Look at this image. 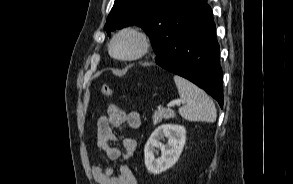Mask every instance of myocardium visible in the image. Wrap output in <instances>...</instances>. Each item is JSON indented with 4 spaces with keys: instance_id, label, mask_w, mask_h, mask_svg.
I'll return each mask as SVG.
<instances>
[{
    "instance_id": "f54148a6",
    "label": "myocardium",
    "mask_w": 293,
    "mask_h": 184,
    "mask_svg": "<svg viewBox=\"0 0 293 184\" xmlns=\"http://www.w3.org/2000/svg\"><path fill=\"white\" fill-rule=\"evenodd\" d=\"M124 34H131L135 36L139 42L138 50L128 56H121L115 53L114 51V44L115 41ZM151 48V39L149 35L140 27L138 26H126L122 29H120L118 32L114 34V36L111 38L109 43V52L110 54L117 60L130 62V61H136L138 59L143 58L145 55L148 54Z\"/></svg>"
}]
</instances>
